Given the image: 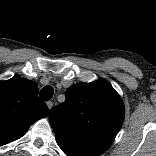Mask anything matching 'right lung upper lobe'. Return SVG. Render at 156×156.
I'll use <instances>...</instances> for the list:
<instances>
[{
    "instance_id": "cb5924a9",
    "label": "right lung upper lobe",
    "mask_w": 156,
    "mask_h": 156,
    "mask_svg": "<svg viewBox=\"0 0 156 156\" xmlns=\"http://www.w3.org/2000/svg\"><path fill=\"white\" fill-rule=\"evenodd\" d=\"M37 93V84L26 78L0 81V145L20 138L31 124L48 115Z\"/></svg>"
}]
</instances>
